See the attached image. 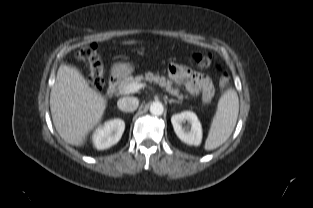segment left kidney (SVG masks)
Listing matches in <instances>:
<instances>
[{"mask_svg": "<svg viewBox=\"0 0 313 208\" xmlns=\"http://www.w3.org/2000/svg\"><path fill=\"white\" fill-rule=\"evenodd\" d=\"M186 121L191 125L190 129L183 126ZM171 122L176 135L182 142L189 145H200L202 140V127L194 112L183 111L179 114H175L171 117Z\"/></svg>", "mask_w": 313, "mask_h": 208, "instance_id": "5707ae66", "label": "left kidney"}]
</instances>
